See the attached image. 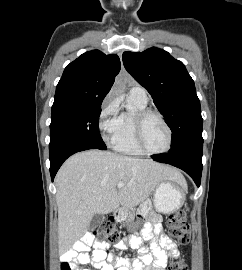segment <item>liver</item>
Segmentation results:
<instances>
[{"label":"liver","mask_w":242,"mask_h":270,"mask_svg":"<svg viewBox=\"0 0 242 270\" xmlns=\"http://www.w3.org/2000/svg\"><path fill=\"white\" fill-rule=\"evenodd\" d=\"M166 180L186 184L176 169L148 159L100 150L71 156L55 178L60 249L80 239L95 214H108L120 206L128 211ZM119 182L125 186L117 189Z\"/></svg>","instance_id":"6515ba94"}]
</instances>
